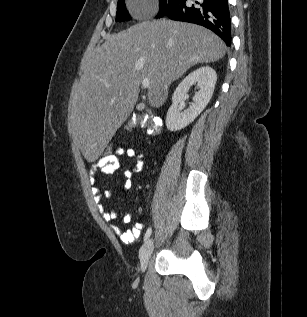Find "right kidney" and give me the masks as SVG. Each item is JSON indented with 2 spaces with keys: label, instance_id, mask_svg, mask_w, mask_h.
<instances>
[{
  "label": "right kidney",
  "instance_id": "obj_1",
  "mask_svg": "<svg viewBox=\"0 0 307 317\" xmlns=\"http://www.w3.org/2000/svg\"><path fill=\"white\" fill-rule=\"evenodd\" d=\"M217 75L213 68L204 66L186 76L178 85L172 96V105L166 116V127L170 131H178L192 123L209 103L215 88ZM197 83L199 91L193 97L192 105L183 112L179 103L188 93L191 86Z\"/></svg>",
  "mask_w": 307,
  "mask_h": 317
}]
</instances>
